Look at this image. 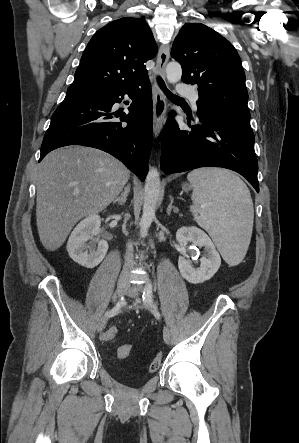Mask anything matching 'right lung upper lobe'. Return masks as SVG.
<instances>
[{
	"label": "right lung upper lobe",
	"mask_w": 299,
	"mask_h": 443,
	"mask_svg": "<svg viewBox=\"0 0 299 443\" xmlns=\"http://www.w3.org/2000/svg\"><path fill=\"white\" fill-rule=\"evenodd\" d=\"M157 50L143 18L115 20L91 38L70 87L103 92L137 85L148 78L144 63Z\"/></svg>",
	"instance_id": "1"
}]
</instances>
